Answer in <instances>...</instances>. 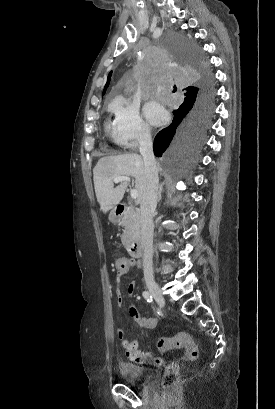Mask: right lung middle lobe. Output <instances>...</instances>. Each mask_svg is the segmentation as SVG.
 I'll use <instances>...</instances> for the list:
<instances>
[{
  "instance_id": "obj_1",
  "label": "right lung middle lobe",
  "mask_w": 275,
  "mask_h": 409,
  "mask_svg": "<svg viewBox=\"0 0 275 409\" xmlns=\"http://www.w3.org/2000/svg\"><path fill=\"white\" fill-rule=\"evenodd\" d=\"M197 48L191 36H182L180 31H173L163 44L164 51H176L181 73H189L183 78L184 85H196L191 97L173 108L172 123L156 135L153 144L154 155L165 159L163 171L174 169V175L180 178L186 176L184 171L204 146L212 115L213 77L204 50ZM155 88L160 90L162 85L157 83Z\"/></svg>"
}]
</instances>
